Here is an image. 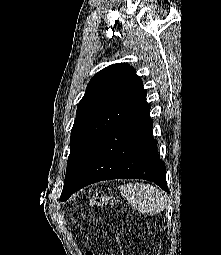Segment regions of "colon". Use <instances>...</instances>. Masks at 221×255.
<instances>
[{
    "label": "colon",
    "instance_id": "5ec220e1",
    "mask_svg": "<svg viewBox=\"0 0 221 255\" xmlns=\"http://www.w3.org/2000/svg\"><path fill=\"white\" fill-rule=\"evenodd\" d=\"M113 198L105 193H97L88 201L89 207H101L107 203H112ZM85 255H94L92 251H86Z\"/></svg>",
    "mask_w": 221,
    "mask_h": 255
}]
</instances>
